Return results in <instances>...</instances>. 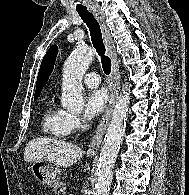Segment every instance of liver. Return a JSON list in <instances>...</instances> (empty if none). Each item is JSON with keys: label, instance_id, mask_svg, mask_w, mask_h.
I'll return each instance as SVG.
<instances>
[{"label": "liver", "instance_id": "obj_1", "mask_svg": "<svg viewBox=\"0 0 189 195\" xmlns=\"http://www.w3.org/2000/svg\"><path fill=\"white\" fill-rule=\"evenodd\" d=\"M84 154L77 145L54 138H34L30 140L24 151L26 162L48 160L55 162L59 167L73 165Z\"/></svg>", "mask_w": 189, "mask_h": 195}]
</instances>
